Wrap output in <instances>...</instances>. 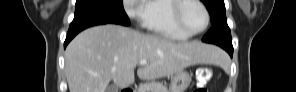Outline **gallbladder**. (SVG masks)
<instances>
[{"label":"gallbladder","instance_id":"gallbladder-1","mask_svg":"<svg viewBox=\"0 0 296 92\" xmlns=\"http://www.w3.org/2000/svg\"><path fill=\"white\" fill-rule=\"evenodd\" d=\"M119 88L116 86V85H110L108 88H107V92H118Z\"/></svg>","mask_w":296,"mask_h":92}]
</instances>
